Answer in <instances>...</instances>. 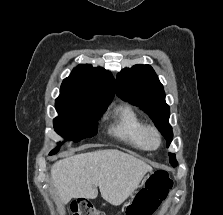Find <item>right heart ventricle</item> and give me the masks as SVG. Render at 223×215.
<instances>
[{
	"instance_id": "e07e8e85",
	"label": "right heart ventricle",
	"mask_w": 223,
	"mask_h": 215,
	"mask_svg": "<svg viewBox=\"0 0 223 215\" xmlns=\"http://www.w3.org/2000/svg\"><path fill=\"white\" fill-rule=\"evenodd\" d=\"M145 123L129 106L117 109L115 121L111 126V133L120 142L137 150H144L143 135Z\"/></svg>"
}]
</instances>
